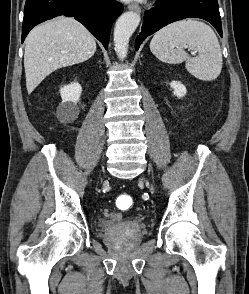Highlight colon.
<instances>
[{
	"instance_id": "colon-1",
	"label": "colon",
	"mask_w": 249,
	"mask_h": 294,
	"mask_svg": "<svg viewBox=\"0 0 249 294\" xmlns=\"http://www.w3.org/2000/svg\"><path fill=\"white\" fill-rule=\"evenodd\" d=\"M134 205V200L127 195H122L117 198V206L120 209H129Z\"/></svg>"
}]
</instances>
